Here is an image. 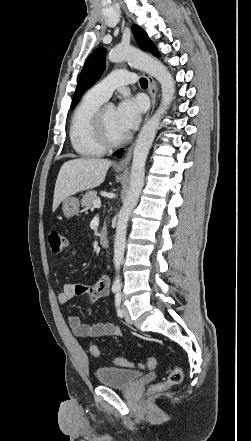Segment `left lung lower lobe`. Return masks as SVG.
Masks as SVG:
<instances>
[{
    "instance_id": "obj_1",
    "label": "left lung lower lobe",
    "mask_w": 251,
    "mask_h": 441,
    "mask_svg": "<svg viewBox=\"0 0 251 441\" xmlns=\"http://www.w3.org/2000/svg\"><path fill=\"white\" fill-rule=\"evenodd\" d=\"M117 154H118V157H121L122 154H123V150H119V151H117Z\"/></svg>"
}]
</instances>
